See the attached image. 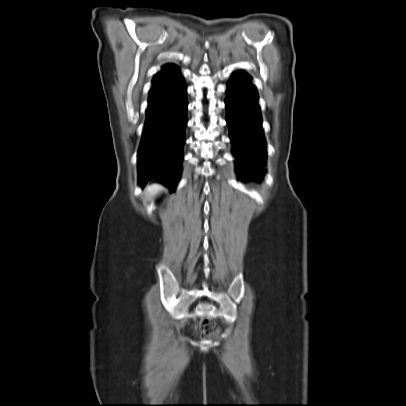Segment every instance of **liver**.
I'll list each match as a JSON object with an SVG mask.
<instances>
[{"instance_id": "liver-1", "label": "liver", "mask_w": 406, "mask_h": 406, "mask_svg": "<svg viewBox=\"0 0 406 406\" xmlns=\"http://www.w3.org/2000/svg\"><path fill=\"white\" fill-rule=\"evenodd\" d=\"M161 188L158 184H152L147 188V195L152 197L160 192Z\"/></svg>"}]
</instances>
